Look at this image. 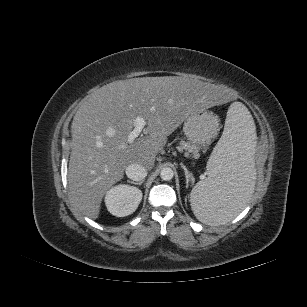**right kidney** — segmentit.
<instances>
[{
	"label": "right kidney",
	"mask_w": 307,
	"mask_h": 307,
	"mask_svg": "<svg viewBox=\"0 0 307 307\" xmlns=\"http://www.w3.org/2000/svg\"><path fill=\"white\" fill-rule=\"evenodd\" d=\"M142 200V191L136 187L120 184L109 189L105 196L108 211L117 217L132 214Z\"/></svg>",
	"instance_id": "1"
}]
</instances>
